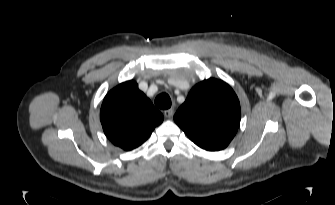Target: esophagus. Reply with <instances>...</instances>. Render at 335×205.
I'll list each match as a JSON object with an SVG mask.
<instances>
[{"label":"esophagus","mask_w":335,"mask_h":205,"mask_svg":"<svg viewBox=\"0 0 335 205\" xmlns=\"http://www.w3.org/2000/svg\"><path fill=\"white\" fill-rule=\"evenodd\" d=\"M173 115H174V109L173 108H170V109L164 111V116L167 119L172 118Z\"/></svg>","instance_id":"34e87169"}]
</instances>
